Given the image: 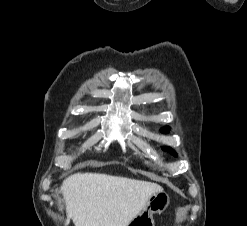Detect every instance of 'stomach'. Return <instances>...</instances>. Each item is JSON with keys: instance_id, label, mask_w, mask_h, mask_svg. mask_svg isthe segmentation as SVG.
I'll use <instances>...</instances> for the list:
<instances>
[{"instance_id": "0dacf381", "label": "stomach", "mask_w": 247, "mask_h": 226, "mask_svg": "<svg viewBox=\"0 0 247 226\" xmlns=\"http://www.w3.org/2000/svg\"><path fill=\"white\" fill-rule=\"evenodd\" d=\"M170 204V197L163 189L149 197L145 208L127 226H154L153 214L162 213Z\"/></svg>"}]
</instances>
